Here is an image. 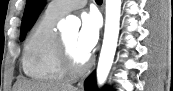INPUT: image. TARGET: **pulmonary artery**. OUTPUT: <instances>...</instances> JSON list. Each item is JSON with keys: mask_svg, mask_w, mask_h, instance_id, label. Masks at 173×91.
Listing matches in <instances>:
<instances>
[{"mask_svg": "<svg viewBox=\"0 0 173 91\" xmlns=\"http://www.w3.org/2000/svg\"><path fill=\"white\" fill-rule=\"evenodd\" d=\"M86 3V0H57L50 3L48 10L54 14L64 16L73 10L84 7Z\"/></svg>", "mask_w": 173, "mask_h": 91, "instance_id": "obj_1", "label": "pulmonary artery"}]
</instances>
